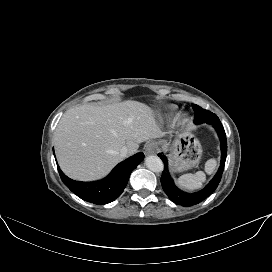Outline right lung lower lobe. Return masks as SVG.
I'll return each mask as SVG.
<instances>
[{"instance_id":"right-lung-lower-lobe-1","label":"right lung lower lobe","mask_w":272,"mask_h":272,"mask_svg":"<svg viewBox=\"0 0 272 272\" xmlns=\"http://www.w3.org/2000/svg\"><path fill=\"white\" fill-rule=\"evenodd\" d=\"M144 159L143 153H137L134 156L119 163L111 173L101 181L97 182H79L68 178L59 168L58 172L63 183L81 199L102 205L114 201L123 192L127 185L131 172Z\"/></svg>"}]
</instances>
